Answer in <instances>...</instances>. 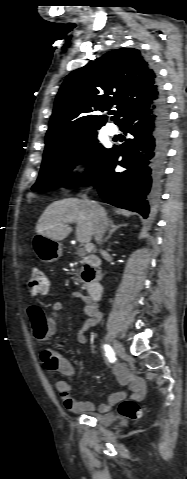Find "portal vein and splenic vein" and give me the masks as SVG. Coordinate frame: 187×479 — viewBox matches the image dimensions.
<instances>
[{
    "mask_svg": "<svg viewBox=\"0 0 187 479\" xmlns=\"http://www.w3.org/2000/svg\"><path fill=\"white\" fill-rule=\"evenodd\" d=\"M92 249H93V245H92V244L87 243V244L85 245V250H86L87 252L92 251Z\"/></svg>",
    "mask_w": 187,
    "mask_h": 479,
    "instance_id": "18ae733b",
    "label": "portal vein and splenic vein"
}]
</instances>
